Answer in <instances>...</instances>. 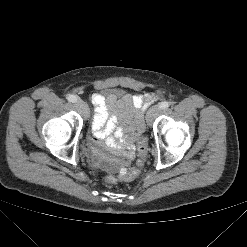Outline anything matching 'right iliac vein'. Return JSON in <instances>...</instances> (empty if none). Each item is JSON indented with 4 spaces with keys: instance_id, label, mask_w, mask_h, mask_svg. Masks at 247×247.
Listing matches in <instances>:
<instances>
[{
    "instance_id": "right-iliac-vein-1",
    "label": "right iliac vein",
    "mask_w": 247,
    "mask_h": 247,
    "mask_svg": "<svg viewBox=\"0 0 247 247\" xmlns=\"http://www.w3.org/2000/svg\"><path fill=\"white\" fill-rule=\"evenodd\" d=\"M75 107L81 112V114L87 118L89 116V109H88V106L87 104L78 99L76 102H75Z\"/></svg>"
}]
</instances>
